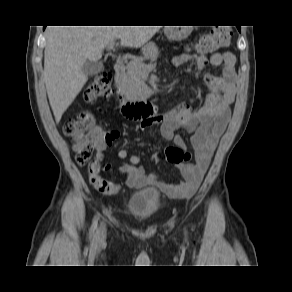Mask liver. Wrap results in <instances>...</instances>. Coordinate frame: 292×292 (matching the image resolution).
Wrapping results in <instances>:
<instances>
[{"instance_id":"obj_1","label":"liver","mask_w":292,"mask_h":292,"mask_svg":"<svg viewBox=\"0 0 292 292\" xmlns=\"http://www.w3.org/2000/svg\"><path fill=\"white\" fill-rule=\"evenodd\" d=\"M159 26H48L44 51V80L56 123L82 90L88 78L82 71L97 62L116 39L123 47L139 48Z\"/></svg>"}]
</instances>
